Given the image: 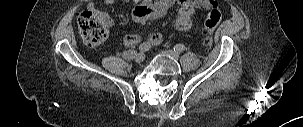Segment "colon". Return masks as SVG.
<instances>
[{"label": "colon", "instance_id": "5ec220e1", "mask_svg": "<svg viewBox=\"0 0 303 127\" xmlns=\"http://www.w3.org/2000/svg\"><path fill=\"white\" fill-rule=\"evenodd\" d=\"M205 21L204 45L210 48L213 43V34L218 27L222 14L218 6L210 8ZM78 29L82 40L88 46H98L107 38V29L98 13L92 10L84 11L78 18Z\"/></svg>", "mask_w": 303, "mask_h": 127}]
</instances>
